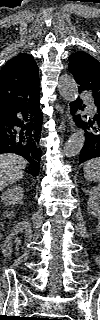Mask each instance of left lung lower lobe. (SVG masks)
Returning <instances> with one entry per match:
<instances>
[{
	"instance_id": "1",
	"label": "left lung lower lobe",
	"mask_w": 100,
	"mask_h": 320,
	"mask_svg": "<svg viewBox=\"0 0 100 320\" xmlns=\"http://www.w3.org/2000/svg\"><path fill=\"white\" fill-rule=\"evenodd\" d=\"M97 107V113L93 119L87 122H82L80 116L75 119L76 125L81 128L84 127L85 143L80 152V163L92 158L100 157V101L94 100ZM82 101L78 100L71 103V109L77 108L83 110Z\"/></svg>"
}]
</instances>
